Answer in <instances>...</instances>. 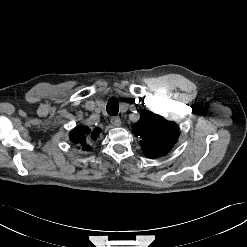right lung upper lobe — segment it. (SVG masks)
Wrapping results in <instances>:
<instances>
[{
	"mask_svg": "<svg viewBox=\"0 0 247 247\" xmlns=\"http://www.w3.org/2000/svg\"><path fill=\"white\" fill-rule=\"evenodd\" d=\"M100 129L97 128L93 132L90 133V136L93 140H96L97 136L99 135ZM89 133V130L86 129L85 127H80V128H75L71 133H70V139L72 142L75 144L80 145L81 149L84 151H89L91 148L90 146L86 143V134Z\"/></svg>",
	"mask_w": 247,
	"mask_h": 247,
	"instance_id": "right-lung-upper-lobe-1",
	"label": "right lung upper lobe"
}]
</instances>
